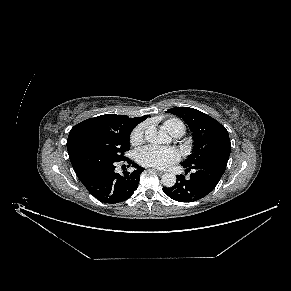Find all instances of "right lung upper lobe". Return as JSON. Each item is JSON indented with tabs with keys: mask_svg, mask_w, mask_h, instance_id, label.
I'll return each instance as SVG.
<instances>
[{
	"mask_svg": "<svg viewBox=\"0 0 291 291\" xmlns=\"http://www.w3.org/2000/svg\"><path fill=\"white\" fill-rule=\"evenodd\" d=\"M147 117L148 115L129 118L125 115L106 114L82 121L69 132L67 140L68 154L71 155L83 150L84 141L92 135L112 130L132 131L137 124Z\"/></svg>",
	"mask_w": 291,
	"mask_h": 291,
	"instance_id": "right-lung-upper-lobe-1",
	"label": "right lung upper lobe"
}]
</instances>
